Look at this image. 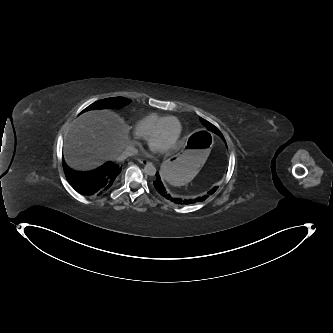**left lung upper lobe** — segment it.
<instances>
[{
	"instance_id": "left-lung-upper-lobe-1",
	"label": "left lung upper lobe",
	"mask_w": 333,
	"mask_h": 333,
	"mask_svg": "<svg viewBox=\"0 0 333 333\" xmlns=\"http://www.w3.org/2000/svg\"><path fill=\"white\" fill-rule=\"evenodd\" d=\"M201 121L207 127L208 130L218 134L219 136L222 135L220 133V131L214 125H212L210 122H208V121H206L205 119H202V118H201Z\"/></svg>"
}]
</instances>
